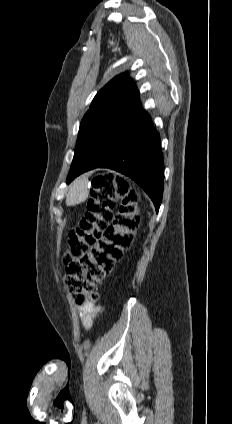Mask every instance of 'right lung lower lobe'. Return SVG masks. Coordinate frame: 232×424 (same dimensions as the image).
I'll use <instances>...</instances> for the list:
<instances>
[{"label":"right lung lower lobe","mask_w":232,"mask_h":424,"mask_svg":"<svg viewBox=\"0 0 232 424\" xmlns=\"http://www.w3.org/2000/svg\"><path fill=\"white\" fill-rule=\"evenodd\" d=\"M132 115L130 122L118 127L104 139L78 175L94 168L116 170L142 187L158 212L164 181L160 137L141 105L134 108ZM75 177L68 178L67 183Z\"/></svg>","instance_id":"1"}]
</instances>
